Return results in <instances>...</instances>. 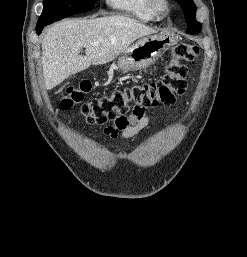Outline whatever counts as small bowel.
<instances>
[{
	"mask_svg": "<svg viewBox=\"0 0 247 257\" xmlns=\"http://www.w3.org/2000/svg\"><path fill=\"white\" fill-rule=\"evenodd\" d=\"M127 119L126 125L120 126L114 123V125L106 127L104 133L112 139L131 138L147 127L150 122V117L145 109L134 110Z\"/></svg>",
	"mask_w": 247,
	"mask_h": 257,
	"instance_id": "1",
	"label": "small bowel"
}]
</instances>
